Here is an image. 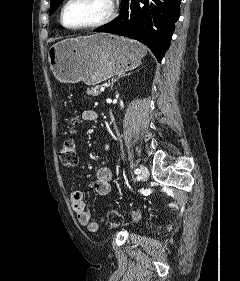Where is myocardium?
Listing matches in <instances>:
<instances>
[{
    "label": "myocardium",
    "instance_id": "myocardium-1",
    "mask_svg": "<svg viewBox=\"0 0 240 281\" xmlns=\"http://www.w3.org/2000/svg\"><path fill=\"white\" fill-rule=\"evenodd\" d=\"M71 1L72 0H66L65 3L63 4L62 8H61V11H60V22L63 25V27H65L66 29H69V30H84V29L97 28V27H100V26H103V25L109 23L116 15V2H115V0H108L109 10L103 18H101L98 21H95V22H92V23H89V24H85V25L69 26L64 21V13H65L66 7L69 5V3Z\"/></svg>",
    "mask_w": 240,
    "mask_h": 281
}]
</instances>
